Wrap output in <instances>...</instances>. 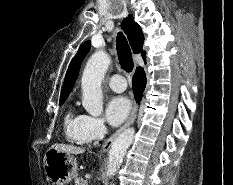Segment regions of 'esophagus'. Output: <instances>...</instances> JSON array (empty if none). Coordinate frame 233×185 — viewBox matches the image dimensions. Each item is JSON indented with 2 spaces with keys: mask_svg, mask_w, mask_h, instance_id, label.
Masks as SVG:
<instances>
[{
  "mask_svg": "<svg viewBox=\"0 0 233 185\" xmlns=\"http://www.w3.org/2000/svg\"><path fill=\"white\" fill-rule=\"evenodd\" d=\"M136 116H137V105H134L133 109H132V112L129 116V118L127 119V121L125 122V124L120 127L109 139H107L103 145H102V148H101V151L102 152H106L108 151L113 142L115 141V139L126 129L128 128L131 124H133V122L135 121L136 119Z\"/></svg>",
  "mask_w": 233,
  "mask_h": 185,
  "instance_id": "1",
  "label": "esophagus"
}]
</instances>
